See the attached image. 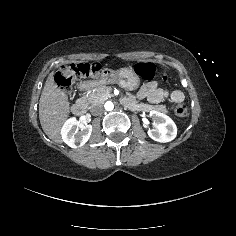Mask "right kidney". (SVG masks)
I'll return each instance as SVG.
<instances>
[{"mask_svg": "<svg viewBox=\"0 0 236 236\" xmlns=\"http://www.w3.org/2000/svg\"><path fill=\"white\" fill-rule=\"evenodd\" d=\"M92 125L84 124L75 119L66 122L62 129L63 140L72 148H80L89 140Z\"/></svg>", "mask_w": 236, "mask_h": 236, "instance_id": "1", "label": "right kidney"}]
</instances>
